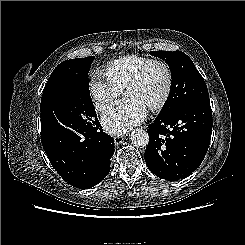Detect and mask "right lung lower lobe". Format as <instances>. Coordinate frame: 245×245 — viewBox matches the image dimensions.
Returning <instances> with one entry per match:
<instances>
[{
  "mask_svg": "<svg viewBox=\"0 0 245 245\" xmlns=\"http://www.w3.org/2000/svg\"><path fill=\"white\" fill-rule=\"evenodd\" d=\"M41 142L53 168L76 188H92L110 171L114 139L102 131L98 119L89 127H41Z\"/></svg>",
  "mask_w": 245,
  "mask_h": 245,
  "instance_id": "right-lung-lower-lobe-1",
  "label": "right lung lower lobe"
}]
</instances>
